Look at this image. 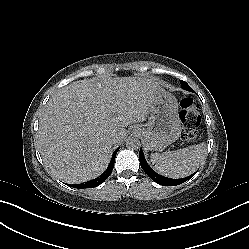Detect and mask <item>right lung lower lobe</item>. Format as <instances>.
Returning <instances> with one entry per match:
<instances>
[{
  "mask_svg": "<svg viewBox=\"0 0 249 249\" xmlns=\"http://www.w3.org/2000/svg\"><path fill=\"white\" fill-rule=\"evenodd\" d=\"M118 150H119V148L116 149V151L114 152V154L112 156V159H111V161L109 163L108 168L106 169V171L101 176H99L98 178L93 179L91 181H87L85 183H81V184H78V185H72V186L74 188L84 189V188H94V187L102 184L110 176V174H111V172L113 170L115 157H116V154H117Z\"/></svg>",
  "mask_w": 249,
  "mask_h": 249,
  "instance_id": "right-lung-lower-lobe-1",
  "label": "right lung lower lobe"
}]
</instances>
